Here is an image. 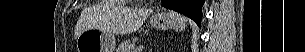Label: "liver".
<instances>
[{"instance_id": "liver-1", "label": "liver", "mask_w": 305, "mask_h": 52, "mask_svg": "<svg viewBox=\"0 0 305 52\" xmlns=\"http://www.w3.org/2000/svg\"><path fill=\"white\" fill-rule=\"evenodd\" d=\"M151 13L150 9H134L123 6L119 3H113L109 14L110 31L118 35H127L136 30L143 24ZM96 28L87 14H83L75 28V39L85 30Z\"/></svg>"}]
</instances>
